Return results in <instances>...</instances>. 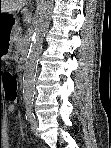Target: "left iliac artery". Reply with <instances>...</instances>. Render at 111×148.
<instances>
[{"instance_id":"44dca946","label":"left iliac artery","mask_w":111,"mask_h":148,"mask_svg":"<svg viewBox=\"0 0 111 148\" xmlns=\"http://www.w3.org/2000/svg\"><path fill=\"white\" fill-rule=\"evenodd\" d=\"M26 119L29 122H33L35 119L34 113L32 112V105L31 103H26Z\"/></svg>"}]
</instances>
